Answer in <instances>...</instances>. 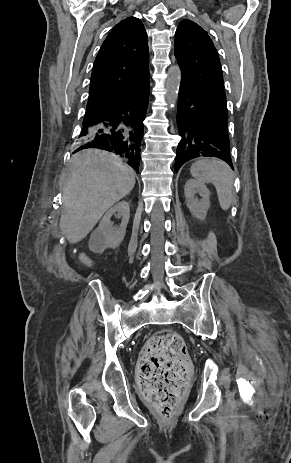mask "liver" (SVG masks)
Segmentation results:
<instances>
[{
    "label": "liver",
    "instance_id": "1",
    "mask_svg": "<svg viewBox=\"0 0 291 463\" xmlns=\"http://www.w3.org/2000/svg\"><path fill=\"white\" fill-rule=\"evenodd\" d=\"M63 186L60 229L70 243L80 242L103 214L135 185V173L117 155L86 149L71 158Z\"/></svg>",
    "mask_w": 291,
    "mask_h": 463
}]
</instances>
